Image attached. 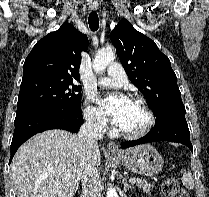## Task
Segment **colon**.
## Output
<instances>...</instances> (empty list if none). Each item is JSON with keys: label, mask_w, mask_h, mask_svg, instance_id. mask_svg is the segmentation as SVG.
<instances>
[{"label": "colon", "mask_w": 209, "mask_h": 197, "mask_svg": "<svg viewBox=\"0 0 209 197\" xmlns=\"http://www.w3.org/2000/svg\"><path fill=\"white\" fill-rule=\"evenodd\" d=\"M162 190L167 197H189L174 178H167L163 183Z\"/></svg>", "instance_id": "colon-1"}]
</instances>
